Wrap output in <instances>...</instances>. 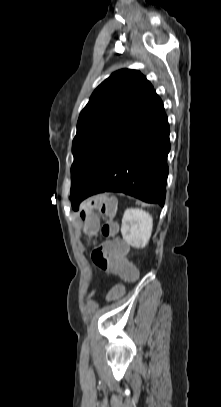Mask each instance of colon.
Returning a JSON list of instances; mask_svg holds the SVG:
<instances>
[{
    "label": "colon",
    "instance_id": "5ec220e1",
    "mask_svg": "<svg viewBox=\"0 0 221 407\" xmlns=\"http://www.w3.org/2000/svg\"><path fill=\"white\" fill-rule=\"evenodd\" d=\"M99 211L105 218V222L100 227L104 239L103 244L92 251V260L101 270L117 274L118 279L123 282H116L111 286L104 297L106 304H118L123 299V294H128V284H137L139 281L138 265H133L132 260H128L126 253L128 245L118 238V224L114 221L117 212L116 201L103 195H97L84 203L79 211L80 221L83 226L87 241L90 244L99 230V222L93 211Z\"/></svg>",
    "mask_w": 221,
    "mask_h": 407
}]
</instances>
